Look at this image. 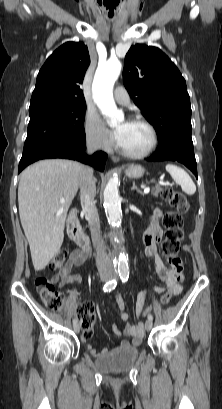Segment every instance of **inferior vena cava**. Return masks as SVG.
Wrapping results in <instances>:
<instances>
[{
    "label": "inferior vena cava",
    "mask_w": 222,
    "mask_h": 409,
    "mask_svg": "<svg viewBox=\"0 0 222 409\" xmlns=\"http://www.w3.org/2000/svg\"><path fill=\"white\" fill-rule=\"evenodd\" d=\"M87 153L93 154L100 147V141L97 137L88 138L86 141ZM80 200L82 210L88 220L91 238L96 249V265L100 272L113 268V264L106 256V246L100 237V221L98 211L95 205L96 184L93 178V169L84 166L79 176Z\"/></svg>",
    "instance_id": "602c4592"
}]
</instances>
